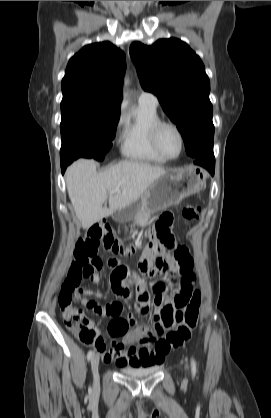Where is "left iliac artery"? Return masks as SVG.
I'll list each match as a JSON object with an SVG mask.
<instances>
[{
    "instance_id": "44dca946",
    "label": "left iliac artery",
    "mask_w": 271,
    "mask_h": 418,
    "mask_svg": "<svg viewBox=\"0 0 271 418\" xmlns=\"http://www.w3.org/2000/svg\"><path fill=\"white\" fill-rule=\"evenodd\" d=\"M191 370H192V374L195 375V373H196V363L193 359L191 360Z\"/></svg>"
}]
</instances>
